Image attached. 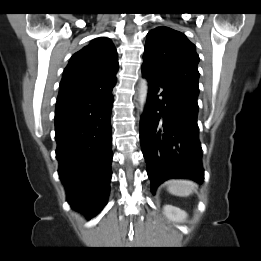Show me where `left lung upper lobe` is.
<instances>
[{
	"label": "left lung upper lobe",
	"mask_w": 261,
	"mask_h": 261,
	"mask_svg": "<svg viewBox=\"0 0 261 261\" xmlns=\"http://www.w3.org/2000/svg\"><path fill=\"white\" fill-rule=\"evenodd\" d=\"M199 56L187 37L168 27L147 34L142 68L199 92Z\"/></svg>",
	"instance_id": "5c2ea615"
}]
</instances>
